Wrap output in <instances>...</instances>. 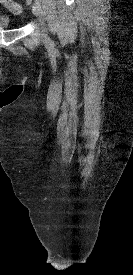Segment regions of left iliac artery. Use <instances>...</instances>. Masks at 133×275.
<instances>
[{
    "mask_svg": "<svg viewBox=\"0 0 133 275\" xmlns=\"http://www.w3.org/2000/svg\"><path fill=\"white\" fill-rule=\"evenodd\" d=\"M36 2H38V3H41V0H35Z\"/></svg>",
    "mask_w": 133,
    "mask_h": 275,
    "instance_id": "44dca946",
    "label": "left iliac artery"
}]
</instances>
